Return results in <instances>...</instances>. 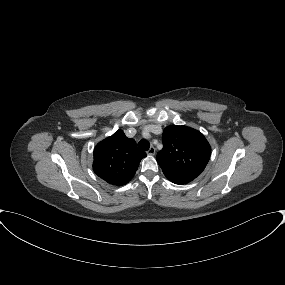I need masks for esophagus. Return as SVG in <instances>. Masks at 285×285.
<instances>
[{"label": "esophagus", "mask_w": 285, "mask_h": 285, "mask_svg": "<svg viewBox=\"0 0 285 285\" xmlns=\"http://www.w3.org/2000/svg\"><path fill=\"white\" fill-rule=\"evenodd\" d=\"M147 153H148L149 155H154V154H155V148H154L153 146H151V147L149 148V150L147 151Z\"/></svg>", "instance_id": "1"}]
</instances>
